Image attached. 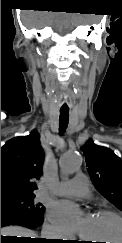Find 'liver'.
Returning <instances> with one entry per match:
<instances>
[{"label":"liver","mask_w":122,"mask_h":243,"mask_svg":"<svg viewBox=\"0 0 122 243\" xmlns=\"http://www.w3.org/2000/svg\"><path fill=\"white\" fill-rule=\"evenodd\" d=\"M1 236L36 238V234L32 230L20 226H7L1 228Z\"/></svg>","instance_id":"6515ba94"}]
</instances>
